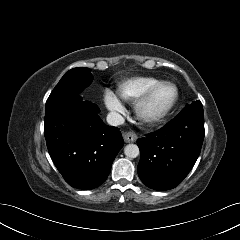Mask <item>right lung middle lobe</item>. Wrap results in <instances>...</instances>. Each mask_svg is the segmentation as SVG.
<instances>
[{
	"instance_id": "right-lung-middle-lobe-1",
	"label": "right lung middle lobe",
	"mask_w": 240,
	"mask_h": 240,
	"mask_svg": "<svg viewBox=\"0 0 240 240\" xmlns=\"http://www.w3.org/2000/svg\"><path fill=\"white\" fill-rule=\"evenodd\" d=\"M93 80L89 68L78 67L69 70L55 86L46 104L63 98L79 95Z\"/></svg>"
}]
</instances>
